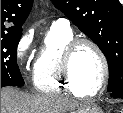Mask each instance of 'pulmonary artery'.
Returning a JSON list of instances; mask_svg holds the SVG:
<instances>
[{
  "mask_svg": "<svg viewBox=\"0 0 123 113\" xmlns=\"http://www.w3.org/2000/svg\"><path fill=\"white\" fill-rule=\"evenodd\" d=\"M69 21L64 18L57 19L52 22L51 27L69 28Z\"/></svg>",
  "mask_w": 123,
  "mask_h": 113,
  "instance_id": "e3ab8cb5",
  "label": "pulmonary artery"
}]
</instances>
